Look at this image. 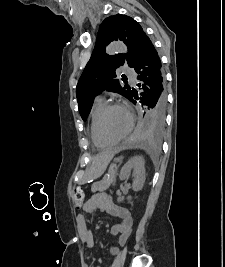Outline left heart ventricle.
<instances>
[{
    "instance_id": "obj_1",
    "label": "left heart ventricle",
    "mask_w": 225,
    "mask_h": 267,
    "mask_svg": "<svg viewBox=\"0 0 225 267\" xmlns=\"http://www.w3.org/2000/svg\"><path fill=\"white\" fill-rule=\"evenodd\" d=\"M129 123L127 112L124 109L116 108L107 113L103 127L107 136L118 139L126 133Z\"/></svg>"
}]
</instances>
